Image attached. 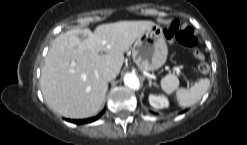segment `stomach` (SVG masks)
<instances>
[{
	"instance_id": "0dacf381",
	"label": "stomach",
	"mask_w": 247,
	"mask_h": 145,
	"mask_svg": "<svg viewBox=\"0 0 247 145\" xmlns=\"http://www.w3.org/2000/svg\"><path fill=\"white\" fill-rule=\"evenodd\" d=\"M168 48L163 29L154 25L140 35L133 47L132 57L140 70L154 71L162 67L167 59Z\"/></svg>"
}]
</instances>
